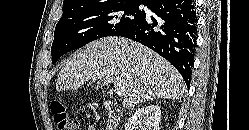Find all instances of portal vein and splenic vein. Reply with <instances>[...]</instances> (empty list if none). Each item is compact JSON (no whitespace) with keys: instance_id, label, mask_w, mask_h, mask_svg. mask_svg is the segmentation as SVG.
Segmentation results:
<instances>
[{"instance_id":"obj_1","label":"portal vein and splenic vein","mask_w":249,"mask_h":130,"mask_svg":"<svg viewBox=\"0 0 249 130\" xmlns=\"http://www.w3.org/2000/svg\"><path fill=\"white\" fill-rule=\"evenodd\" d=\"M93 80H95V79H93ZM125 91H126L125 87H119L118 90H117V94L119 96H123L125 94Z\"/></svg>"}]
</instances>
